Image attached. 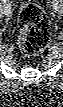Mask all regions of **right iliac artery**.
Here are the masks:
<instances>
[{"mask_svg":"<svg viewBox=\"0 0 63 107\" xmlns=\"http://www.w3.org/2000/svg\"><path fill=\"white\" fill-rule=\"evenodd\" d=\"M1 2H2L1 3L2 5H0V6L5 7V9L7 10V12H12L10 4H8V2L6 0H2Z\"/></svg>","mask_w":63,"mask_h":107,"instance_id":"obj_1","label":"right iliac artery"}]
</instances>
